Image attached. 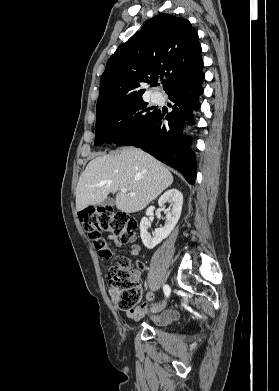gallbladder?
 I'll return each mask as SVG.
<instances>
[{
    "mask_svg": "<svg viewBox=\"0 0 279 391\" xmlns=\"http://www.w3.org/2000/svg\"><path fill=\"white\" fill-rule=\"evenodd\" d=\"M114 204H115V201H114L113 199L107 198V199H105L104 201H102V202L99 204V206H107V205H109V206H114Z\"/></svg>",
    "mask_w": 279,
    "mask_h": 391,
    "instance_id": "1",
    "label": "gallbladder"
}]
</instances>
